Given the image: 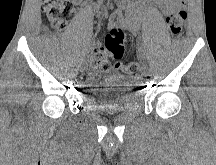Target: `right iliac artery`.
<instances>
[{"instance_id": "1", "label": "right iliac artery", "mask_w": 216, "mask_h": 165, "mask_svg": "<svg viewBox=\"0 0 216 165\" xmlns=\"http://www.w3.org/2000/svg\"><path fill=\"white\" fill-rule=\"evenodd\" d=\"M86 59H87V58H86L85 56H80V61H79V62H80L81 64H86Z\"/></svg>"}]
</instances>
